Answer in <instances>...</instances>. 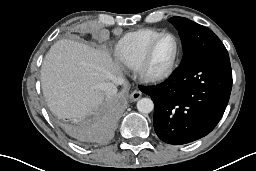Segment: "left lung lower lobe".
Returning <instances> with one entry per match:
<instances>
[{
	"label": "left lung lower lobe",
	"mask_w": 256,
	"mask_h": 171,
	"mask_svg": "<svg viewBox=\"0 0 256 171\" xmlns=\"http://www.w3.org/2000/svg\"><path fill=\"white\" fill-rule=\"evenodd\" d=\"M231 88L227 51L197 55L182 62L163 83L139 86L154 102L156 134L173 145L186 144L210 133L225 111Z\"/></svg>",
	"instance_id": "left-lung-lower-lobe-1"
}]
</instances>
